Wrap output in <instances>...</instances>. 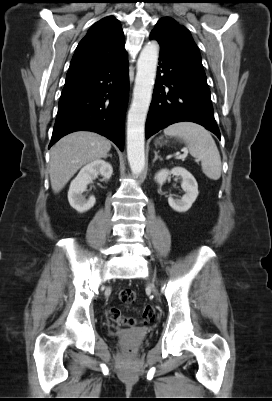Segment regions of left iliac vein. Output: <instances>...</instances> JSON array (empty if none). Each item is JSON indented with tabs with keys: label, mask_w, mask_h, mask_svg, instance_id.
Instances as JSON below:
<instances>
[{
	"label": "left iliac vein",
	"mask_w": 272,
	"mask_h": 401,
	"mask_svg": "<svg viewBox=\"0 0 272 401\" xmlns=\"http://www.w3.org/2000/svg\"><path fill=\"white\" fill-rule=\"evenodd\" d=\"M152 290H153V292L155 293V294H157V291H156V289L152 286Z\"/></svg>",
	"instance_id": "left-iliac-vein-1"
}]
</instances>
